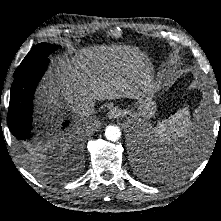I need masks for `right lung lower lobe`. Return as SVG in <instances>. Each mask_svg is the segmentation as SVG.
Here are the masks:
<instances>
[{
	"instance_id": "obj_1",
	"label": "right lung lower lobe",
	"mask_w": 221,
	"mask_h": 221,
	"mask_svg": "<svg viewBox=\"0 0 221 221\" xmlns=\"http://www.w3.org/2000/svg\"><path fill=\"white\" fill-rule=\"evenodd\" d=\"M48 64L49 59L44 58L14 76L7 121L9 130L20 141L31 138L33 95ZM68 123L66 121L63 127Z\"/></svg>"
}]
</instances>
